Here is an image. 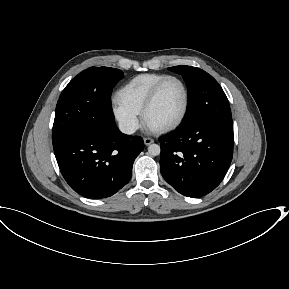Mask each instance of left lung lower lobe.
<instances>
[{
	"label": "left lung lower lobe",
	"instance_id": "obj_1",
	"mask_svg": "<svg viewBox=\"0 0 289 289\" xmlns=\"http://www.w3.org/2000/svg\"><path fill=\"white\" fill-rule=\"evenodd\" d=\"M160 170L182 195L196 198L214 190L233 157L232 125L200 120L161 137Z\"/></svg>",
	"mask_w": 289,
	"mask_h": 289
}]
</instances>
